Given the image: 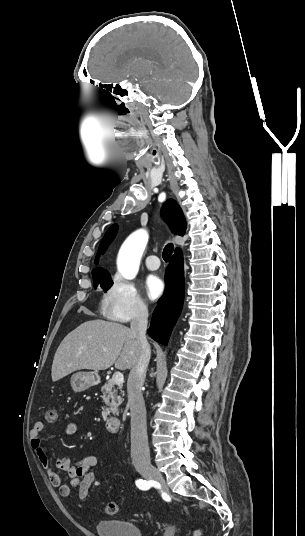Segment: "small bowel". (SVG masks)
Wrapping results in <instances>:
<instances>
[{"label": "small bowel", "mask_w": 305, "mask_h": 536, "mask_svg": "<svg viewBox=\"0 0 305 536\" xmlns=\"http://www.w3.org/2000/svg\"><path fill=\"white\" fill-rule=\"evenodd\" d=\"M44 427H32L30 431V444L36 454L38 461L45 469L48 479L52 486L59 488V494L62 497H68L71 494L72 488H80L86 478L87 469H93L97 464V459L94 456H84L79 459H72L70 457H59L55 460V466H50L49 458L42 446L40 435ZM77 426L75 423H70L66 429L65 434L72 435L76 432ZM64 472L70 482L63 484L59 472Z\"/></svg>", "instance_id": "1"}]
</instances>
